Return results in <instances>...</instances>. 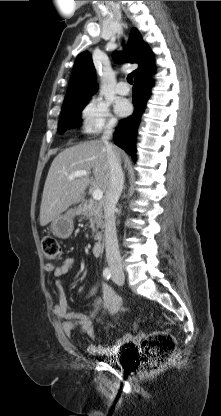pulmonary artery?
<instances>
[{
	"label": "pulmonary artery",
	"instance_id": "pulmonary-artery-1",
	"mask_svg": "<svg viewBox=\"0 0 221 416\" xmlns=\"http://www.w3.org/2000/svg\"><path fill=\"white\" fill-rule=\"evenodd\" d=\"M130 91L129 86L124 81H119L116 86V92L120 95H127Z\"/></svg>",
	"mask_w": 221,
	"mask_h": 416
}]
</instances>
